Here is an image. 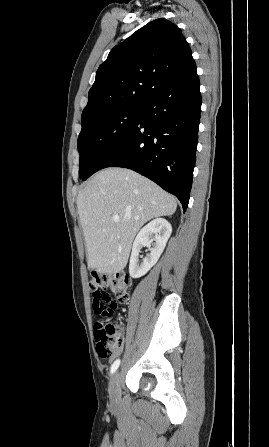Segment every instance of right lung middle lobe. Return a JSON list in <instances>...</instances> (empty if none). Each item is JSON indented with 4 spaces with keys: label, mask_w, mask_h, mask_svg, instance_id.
Masks as SVG:
<instances>
[{
    "label": "right lung middle lobe",
    "mask_w": 269,
    "mask_h": 447,
    "mask_svg": "<svg viewBox=\"0 0 269 447\" xmlns=\"http://www.w3.org/2000/svg\"><path fill=\"white\" fill-rule=\"evenodd\" d=\"M144 108L143 103L124 106L82 123L78 137L81 179L90 173L104 153L138 125Z\"/></svg>",
    "instance_id": "1"
}]
</instances>
